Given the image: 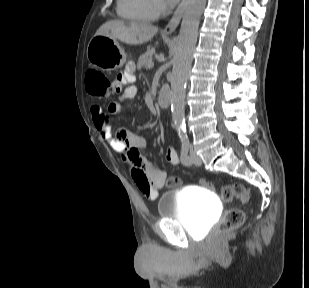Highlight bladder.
<instances>
[{"mask_svg":"<svg viewBox=\"0 0 309 288\" xmlns=\"http://www.w3.org/2000/svg\"><path fill=\"white\" fill-rule=\"evenodd\" d=\"M219 209V201L203 186L169 190L157 200L160 218H174L193 234L204 233L215 221Z\"/></svg>","mask_w":309,"mask_h":288,"instance_id":"obj_1","label":"bladder"}]
</instances>
